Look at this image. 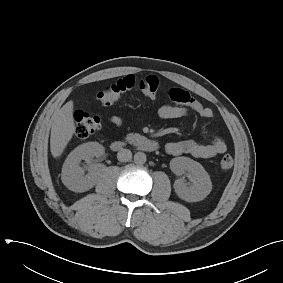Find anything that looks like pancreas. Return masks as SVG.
<instances>
[{"label": "pancreas", "mask_w": 283, "mask_h": 283, "mask_svg": "<svg viewBox=\"0 0 283 283\" xmlns=\"http://www.w3.org/2000/svg\"><path fill=\"white\" fill-rule=\"evenodd\" d=\"M138 138H139V134L130 133V134L127 135L126 141H128L129 143H133Z\"/></svg>", "instance_id": "obj_1"}]
</instances>
